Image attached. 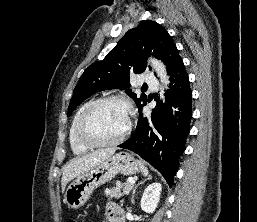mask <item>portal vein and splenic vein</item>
<instances>
[{
  "label": "portal vein and splenic vein",
  "instance_id": "18ae733b",
  "mask_svg": "<svg viewBox=\"0 0 257 222\" xmlns=\"http://www.w3.org/2000/svg\"><path fill=\"white\" fill-rule=\"evenodd\" d=\"M128 182L131 183V184H134L135 183V180L133 178H129L128 179Z\"/></svg>",
  "mask_w": 257,
  "mask_h": 222
}]
</instances>
